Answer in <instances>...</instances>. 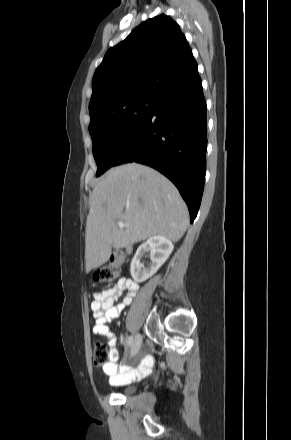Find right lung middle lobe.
Masks as SVG:
<instances>
[{"mask_svg":"<svg viewBox=\"0 0 291 440\" xmlns=\"http://www.w3.org/2000/svg\"><path fill=\"white\" fill-rule=\"evenodd\" d=\"M153 103L154 96H137L101 104L89 111L96 176L112 167L118 153L144 122Z\"/></svg>","mask_w":291,"mask_h":440,"instance_id":"dd1d6c3e","label":"right lung middle lobe"}]
</instances>
